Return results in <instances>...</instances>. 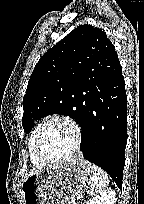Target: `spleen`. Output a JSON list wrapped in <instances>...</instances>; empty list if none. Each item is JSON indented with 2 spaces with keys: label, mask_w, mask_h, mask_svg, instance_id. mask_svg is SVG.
I'll use <instances>...</instances> for the list:
<instances>
[{
  "label": "spleen",
  "mask_w": 144,
  "mask_h": 204,
  "mask_svg": "<svg viewBox=\"0 0 144 204\" xmlns=\"http://www.w3.org/2000/svg\"><path fill=\"white\" fill-rule=\"evenodd\" d=\"M92 169V183L90 194L93 196H99L105 190V187L109 184V179L105 171L96 165L91 166Z\"/></svg>",
  "instance_id": "obj_1"
}]
</instances>
